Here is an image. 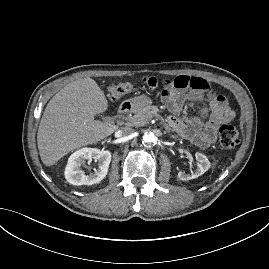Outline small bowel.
Listing matches in <instances>:
<instances>
[{
	"label": "small bowel",
	"instance_id": "c3829d8e",
	"mask_svg": "<svg viewBox=\"0 0 269 269\" xmlns=\"http://www.w3.org/2000/svg\"><path fill=\"white\" fill-rule=\"evenodd\" d=\"M147 81L149 87L160 96L174 92L175 95L167 97V105L175 113L181 110L183 99L190 98L198 102L195 117H170L168 124L199 147L206 148L215 143L219 126L230 122L234 117V111L229 107L227 99L212 90L203 78L186 75L170 78L156 75Z\"/></svg>",
	"mask_w": 269,
	"mask_h": 269
}]
</instances>
